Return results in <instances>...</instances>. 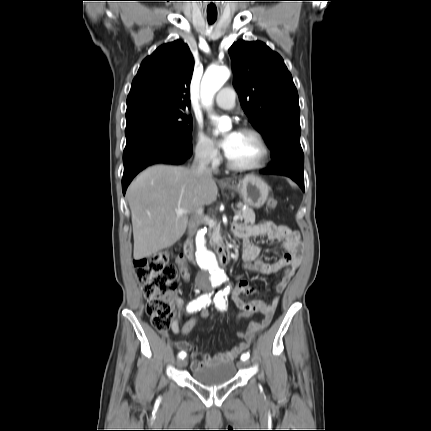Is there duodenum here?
<instances>
[{
  "label": "duodenum",
  "mask_w": 431,
  "mask_h": 431,
  "mask_svg": "<svg viewBox=\"0 0 431 431\" xmlns=\"http://www.w3.org/2000/svg\"><path fill=\"white\" fill-rule=\"evenodd\" d=\"M218 259L221 265L225 266L230 262V253L227 245H221L217 251ZM193 257V246L190 240H187L184 245V261L186 259L192 260Z\"/></svg>",
  "instance_id": "duodenum-1"
}]
</instances>
